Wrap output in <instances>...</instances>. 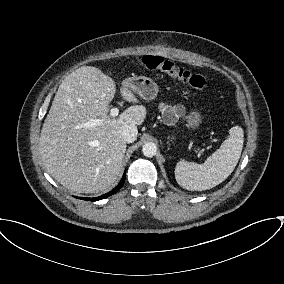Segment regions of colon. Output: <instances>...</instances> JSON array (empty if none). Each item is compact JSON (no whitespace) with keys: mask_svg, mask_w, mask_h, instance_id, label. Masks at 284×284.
Returning a JSON list of instances; mask_svg holds the SVG:
<instances>
[{"mask_svg":"<svg viewBox=\"0 0 284 284\" xmlns=\"http://www.w3.org/2000/svg\"><path fill=\"white\" fill-rule=\"evenodd\" d=\"M142 61L147 69L162 71L173 79L189 85L194 89L203 90L206 87L204 76L184 69L171 60L161 56L147 55L143 57Z\"/></svg>","mask_w":284,"mask_h":284,"instance_id":"colon-1","label":"colon"}]
</instances>
